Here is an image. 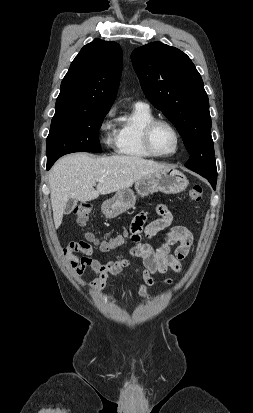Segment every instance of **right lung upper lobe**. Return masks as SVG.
Listing matches in <instances>:
<instances>
[{"instance_id": "cb5924a9", "label": "right lung upper lobe", "mask_w": 253, "mask_h": 413, "mask_svg": "<svg viewBox=\"0 0 253 413\" xmlns=\"http://www.w3.org/2000/svg\"><path fill=\"white\" fill-rule=\"evenodd\" d=\"M122 50L96 38L75 57L61 83L54 117L110 110L119 87Z\"/></svg>"}]
</instances>
